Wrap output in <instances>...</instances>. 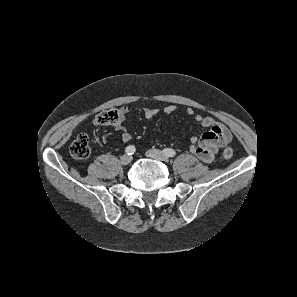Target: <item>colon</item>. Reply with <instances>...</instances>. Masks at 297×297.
I'll return each instance as SVG.
<instances>
[{
  "instance_id": "1",
  "label": "colon",
  "mask_w": 297,
  "mask_h": 297,
  "mask_svg": "<svg viewBox=\"0 0 297 297\" xmlns=\"http://www.w3.org/2000/svg\"><path fill=\"white\" fill-rule=\"evenodd\" d=\"M120 112L117 109L106 110L99 113L95 117V124L97 125H116L120 122ZM70 153L72 157L76 159H86L89 157L91 153L89 138L85 134H80L70 145ZM232 149L226 147L223 149L221 153V158L223 161H228L232 157Z\"/></svg>"
}]
</instances>
